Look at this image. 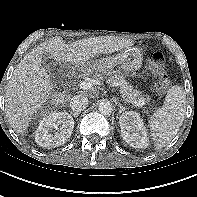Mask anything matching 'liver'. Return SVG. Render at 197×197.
I'll use <instances>...</instances> for the list:
<instances>
[{
  "label": "liver",
  "instance_id": "liver-1",
  "mask_svg": "<svg viewBox=\"0 0 197 197\" xmlns=\"http://www.w3.org/2000/svg\"><path fill=\"white\" fill-rule=\"evenodd\" d=\"M132 45L133 40L113 36L91 37L70 44L57 36L43 42L21 60L7 85L5 113L10 126L16 133L24 134L33 114L49 99L55 107L65 106L70 100L69 95L53 93L51 79L42 66L44 54L60 63L83 67L100 54Z\"/></svg>",
  "mask_w": 197,
  "mask_h": 197
}]
</instances>
